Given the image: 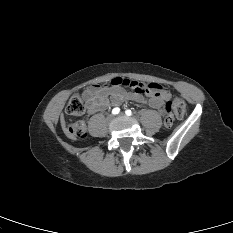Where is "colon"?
Wrapping results in <instances>:
<instances>
[{"mask_svg":"<svg viewBox=\"0 0 233 233\" xmlns=\"http://www.w3.org/2000/svg\"><path fill=\"white\" fill-rule=\"evenodd\" d=\"M111 84L118 83L125 88L137 90V91H157L158 87L154 85L144 86L142 83L132 81L129 79L112 80ZM166 116L164 118V125L171 127L174 124L175 117L183 118L186 114V104L180 97H174L169 99L165 105ZM85 111V105L82 98L79 95H74L70 98L67 106L66 113L68 115H81ZM67 134L73 138L83 139L87 136V128L84 122L75 121L68 124Z\"/></svg>","mask_w":233,"mask_h":233,"instance_id":"1","label":"colon"}]
</instances>
